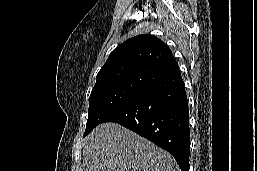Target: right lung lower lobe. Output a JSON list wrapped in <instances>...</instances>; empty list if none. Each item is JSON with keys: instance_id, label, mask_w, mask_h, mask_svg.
Instances as JSON below:
<instances>
[{"instance_id": "1", "label": "right lung lower lobe", "mask_w": 257, "mask_h": 171, "mask_svg": "<svg viewBox=\"0 0 257 171\" xmlns=\"http://www.w3.org/2000/svg\"><path fill=\"white\" fill-rule=\"evenodd\" d=\"M104 122L147 138L171 153L182 171H189V109L180 71L140 92Z\"/></svg>"}]
</instances>
